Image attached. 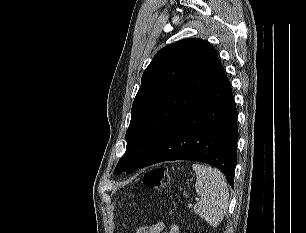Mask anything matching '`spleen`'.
Returning a JSON list of instances; mask_svg holds the SVG:
<instances>
[{
  "instance_id": "spleen-1",
  "label": "spleen",
  "mask_w": 306,
  "mask_h": 233,
  "mask_svg": "<svg viewBox=\"0 0 306 233\" xmlns=\"http://www.w3.org/2000/svg\"><path fill=\"white\" fill-rule=\"evenodd\" d=\"M197 180L195 190L201 200L194 206V213L210 226L217 227L228 208L229 191L224 175L217 169L193 164Z\"/></svg>"
}]
</instances>
